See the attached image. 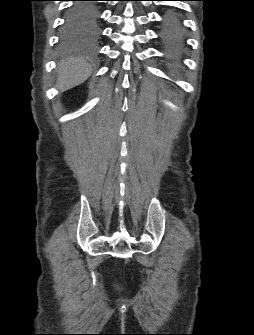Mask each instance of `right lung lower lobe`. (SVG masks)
<instances>
[{"label": "right lung lower lobe", "instance_id": "right-lung-lower-lobe-1", "mask_svg": "<svg viewBox=\"0 0 254 335\" xmlns=\"http://www.w3.org/2000/svg\"><path fill=\"white\" fill-rule=\"evenodd\" d=\"M90 1H79L75 3L69 10L66 17V25L76 24L81 22L84 29H91L97 24L98 10L87 6ZM74 12V15L70 14Z\"/></svg>", "mask_w": 254, "mask_h": 335}]
</instances>
